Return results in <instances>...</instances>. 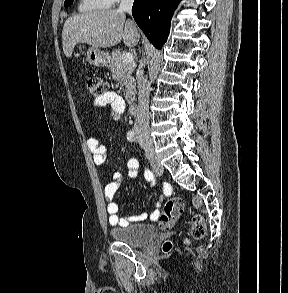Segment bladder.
Returning <instances> with one entry per match:
<instances>
[{
  "label": "bladder",
  "instance_id": "1",
  "mask_svg": "<svg viewBox=\"0 0 288 293\" xmlns=\"http://www.w3.org/2000/svg\"><path fill=\"white\" fill-rule=\"evenodd\" d=\"M111 236L118 242L141 246L157 236V229L150 224H133L125 227H115L110 231Z\"/></svg>",
  "mask_w": 288,
  "mask_h": 293
}]
</instances>
